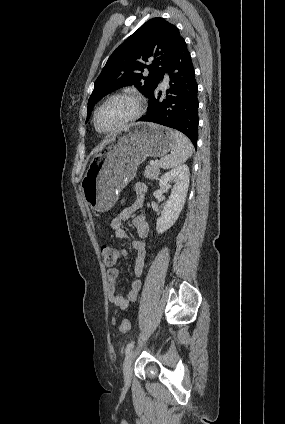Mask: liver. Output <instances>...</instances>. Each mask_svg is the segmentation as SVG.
<instances>
[{"label": "liver", "mask_w": 285, "mask_h": 424, "mask_svg": "<svg viewBox=\"0 0 285 424\" xmlns=\"http://www.w3.org/2000/svg\"><path fill=\"white\" fill-rule=\"evenodd\" d=\"M111 139H112V138H111ZM111 139H107V140H105V141L102 143V145L99 147V149L103 148V147H104V145H105L106 143H108Z\"/></svg>", "instance_id": "1"}]
</instances>
